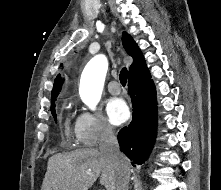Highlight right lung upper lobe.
Listing matches in <instances>:
<instances>
[{"mask_svg": "<svg viewBox=\"0 0 221 190\" xmlns=\"http://www.w3.org/2000/svg\"><path fill=\"white\" fill-rule=\"evenodd\" d=\"M122 43L127 53L133 58V63L129 68V79L139 78L148 75L149 71L140 49L134 42L133 38L126 32H123ZM62 84L63 81L60 74H58L54 81V86L51 92V102L56 100L59 92L61 91Z\"/></svg>", "mask_w": 221, "mask_h": 190, "instance_id": "1", "label": "right lung upper lobe"}]
</instances>
